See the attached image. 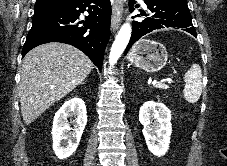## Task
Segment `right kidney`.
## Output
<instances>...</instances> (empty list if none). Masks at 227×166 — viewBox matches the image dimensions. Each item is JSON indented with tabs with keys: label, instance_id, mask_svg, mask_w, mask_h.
Returning <instances> with one entry per match:
<instances>
[{
	"label": "right kidney",
	"instance_id": "right-kidney-1",
	"mask_svg": "<svg viewBox=\"0 0 227 166\" xmlns=\"http://www.w3.org/2000/svg\"><path fill=\"white\" fill-rule=\"evenodd\" d=\"M75 116L73 127L67 118ZM87 123L85 103L82 99L74 97L66 101L56 112L53 120L52 138L53 150L59 159H65L76 151L82 133Z\"/></svg>",
	"mask_w": 227,
	"mask_h": 166
}]
</instances>
